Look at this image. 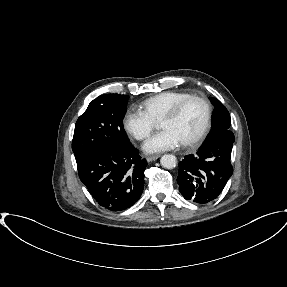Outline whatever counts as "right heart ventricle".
I'll return each instance as SVG.
<instances>
[{"label":"right heart ventricle","mask_w":287,"mask_h":287,"mask_svg":"<svg viewBox=\"0 0 287 287\" xmlns=\"http://www.w3.org/2000/svg\"><path fill=\"white\" fill-rule=\"evenodd\" d=\"M189 96L186 92L165 91L145 99L141 103L142 110L154 121L160 120L162 116L178 101Z\"/></svg>","instance_id":"1"}]
</instances>
